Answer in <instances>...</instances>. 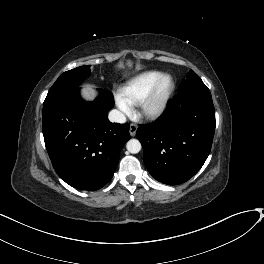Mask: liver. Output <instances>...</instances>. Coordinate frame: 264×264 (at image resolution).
<instances>
[{
    "label": "liver",
    "mask_w": 264,
    "mask_h": 264,
    "mask_svg": "<svg viewBox=\"0 0 264 264\" xmlns=\"http://www.w3.org/2000/svg\"><path fill=\"white\" fill-rule=\"evenodd\" d=\"M127 64H128L129 67L132 66V63L131 62H128ZM88 87L89 86H87V85L83 86V89L81 91L82 97L84 99H86V100H93L94 97H95V94Z\"/></svg>",
    "instance_id": "obj_1"
}]
</instances>
